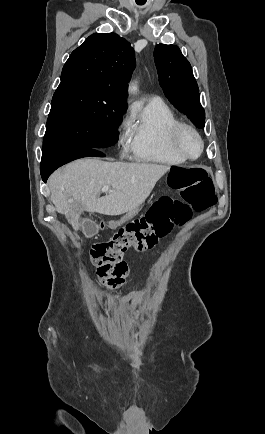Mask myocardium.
Here are the masks:
<instances>
[{
    "label": "myocardium",
    "mask_w": 265,
    "mask_h": 434,
    "mask_svg": "<svg viewBox=\"0 0 265 434\" xmlns=\"http://www.w3.org/2000/svg\"><path fill=\"white\" fill-rule=\"evenodd\" d=\"M186 134H192L199 142L200 152L195 157L187 156L182 149L181 140H182V137L185 136ZM171 140H172V144H173V147H174L176 154L185 162L197 161L204 154L205 147H206L205 140L200 135V133L197 131V129L194 128L190 124L180 122L177 125L175 132H174V135L172 136Z\"/></svg>",
    "instance_id": "1"
}]
</instances>
